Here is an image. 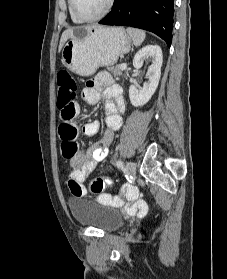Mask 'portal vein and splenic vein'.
<instances>
[{"label": "portal vein and splenic vein", "mask_w": 227, "mask_h": 279, "mask_svg": "<svg viewBox=\"0 0 227 279\" xmlns=\"http://www.w3.org/2000/svg\"><path fill=\"white\" fill-rule=\"evenodd\" d=\"M126 67H127V64H126V63H122V64L120 65V68H121L122 70H125Z\"/></svg>", "instance_id": "18ae733b"}]
</instances>
